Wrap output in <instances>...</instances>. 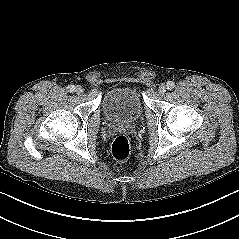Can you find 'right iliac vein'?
Wrapping results in <instances>:
<instances>
[{
    "label": "right iliac vein",
    "mask_w": 239,
    "mask_h": 239,
    "mask_svg": "<svg viewBox=\"0 0 239 239\" xmlns=\"http://www.w3.org/2000/svg\"><path fill=\"white\" fill-rule=\"evenodd\" d=\"M75 92L78 94V95H81L83 93V88L81 86H77L75 88Z\"/></svg>",
    "instance_id": "obj_1"
}]
</instances>
